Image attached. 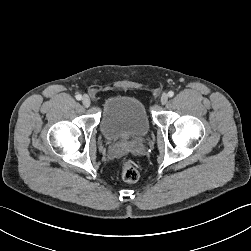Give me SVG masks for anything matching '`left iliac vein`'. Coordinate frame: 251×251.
Wrapping results in <instances>:
<instances>
[{"mask_svg":"<svg viewBox=\"0 0 251 251\" xmlns=\"http://www.w3.org/2000/svg\"><path fill=\"white\" fill-rule=\"evenodd\" d=\"M168 101V95L166 93L162 94L160 102L162 105H165Z\"/></svg>","mask_w":251,"mask_h":251,"instance_id":"4c4485c4","label":"left iliac vein"}]
</instances>
